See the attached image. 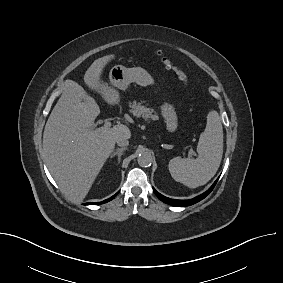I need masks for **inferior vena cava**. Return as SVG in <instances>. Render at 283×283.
<instances>
[{
    "mask_svg": "<svg viewBox=\"0 0 283 283\" xmlns=\"http://www.w3.org/2000/svg\"><path fill=\"white\" fill-rule=\"evenodd\" d=\"M116 143H117L118 146H128L129 141L127 139H124V138H119V139H117Z\"/></svg>",
    "mask_w": 283,
    "mask_h": 283,
    "instance_id": "1",
    "label": "inferior vena cava"
}]
</instances>
